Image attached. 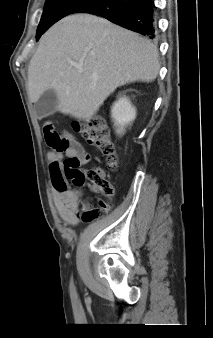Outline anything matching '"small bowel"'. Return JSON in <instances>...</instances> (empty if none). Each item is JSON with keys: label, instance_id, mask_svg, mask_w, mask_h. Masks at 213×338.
<instances>
[{"label": "small bowel", "instance_id": "c3829d8e", "mask_svg": "<svg viewBox=\"0 0 213 338\" xmlns=\"http://www.w3.org/2000/svg\"><path fill=\"white\" fill-rule=\"evenodd\" d=\"M43 133L46 140L47 152L46 158L50 162H58L61 159L68 157H77L81 163H86L91 159V154L84 152L82 145L73 137L70 132H57L53 122H46L43 126ZM67 138L71 147L64 152L57 150L61 139ZM53 204L57 210L59 217L69 223L76 224L79 217L83 213L84 216L88 213L87 199L84 197L81 190L72 188L54 189L52 196Z\"/></svg>", "mask_w": 213, "mask_h": 338}]
</instances>
